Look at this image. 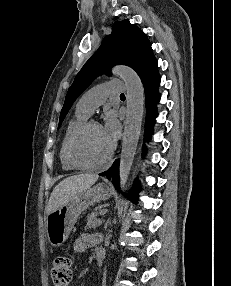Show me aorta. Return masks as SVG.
Listing matches in <instances>:
<instances>
[{
	"label": "aorta",
	"mask_w": 231,
	"mask_h": 286,
	"mask_svg": "<svg viewBox=\"0 0 231 286\" xmlns=\"http://www.w3.org/2000/svg\"><path fill=\"white\" fill-rule=\"evenodd\" d=\"M113 73L119 75L126 86V119L120 155V187L124 190L136 154L144 113V88L138 74L127 66H116Z\"/></svg>",
	"instance_id": "obj_1"
}]
</instances>
